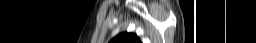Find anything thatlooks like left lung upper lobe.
I'll return each mask as SVG.
<instances>
[{"label":"left lung upper lobe","mask_w":256,"mask_h":43,"mask_svg":"<svg viewBox=\"0 0 256 43\" xmlns=\"http://www.w3.org/2000/svg\"><path fill=\"white\" fill-rule=\"evenodd\" d=\"M110 43H141L137 35L131 33H121Z\"/></svg>","instance_id":"left-lung-upper-lobe-1"}]
</instances>
